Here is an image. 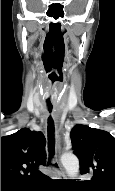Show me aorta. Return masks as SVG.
<instances>
[{
  "label": "aorta",
  "mask_w": 115,
  "mask_h": 191,
  "mask_svg": "<svg viewBox=\"0 0 115 191\" xmlns=\"http://www.w3.org/2000/svg\"><path fill=\"white\" fill-rule=\"evenodd\" d=\"M61 162L70 178H75L79 172V160L71 154L65 153L61 156Z\"/></svg>",
  "instance_id": "obj_1"
}]
</instances>
